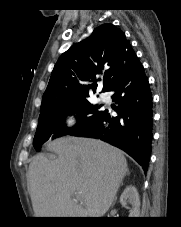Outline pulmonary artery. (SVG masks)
I'll return each instance as SVG.
<instances>
[{"mask_svg": "<svg viewBox=\"0 0 181 227\" xmlns=\"http://www.w3.org/2000/svg\"><path fill=\"white\" fill-rule=\"evenodd\" d=\"M100 97L103 102H108L110 100V96L107 93H102Z\"/></svg>", "mask_w": 181, "mask_h": 227, "instance_id": "e3ab8cb5", "label": "pulmonary artery"}]
</instances>
